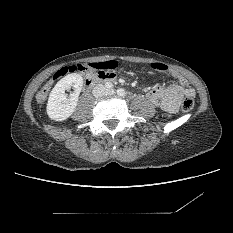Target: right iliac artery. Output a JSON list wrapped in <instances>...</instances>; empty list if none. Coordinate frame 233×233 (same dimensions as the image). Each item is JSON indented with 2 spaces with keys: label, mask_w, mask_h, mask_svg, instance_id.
Returning <instances> with one entry per match:
<instances>
[{
  "label": "right iliac artery",
  "mask_w": 233,
  "mask_h": 233,
  "mask_svg": "<svg viewBox=\"0 0 233 233\" xmlns=\"http://www.w3.org/2000/svg\"><path fill=\"white\" fill-rule=\"evenodd\" d=\"M105 87L107 89H111V88H113V84L111 82H107V83H105Z\"/></svg>",
  "instance_id": "82829eb1"
}]
</instances>
